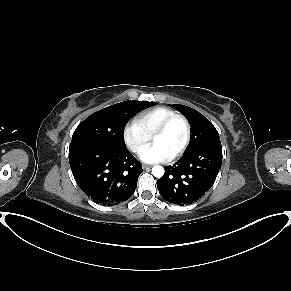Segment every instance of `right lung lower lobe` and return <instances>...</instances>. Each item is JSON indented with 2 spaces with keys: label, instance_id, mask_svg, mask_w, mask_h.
Here are the masks:
<instances>
[{
  "label": "right lung lower lobe",
  "instance_id": "1",
  "mask_svg": "<svg viewBox=\"0 0 291 291\" xmlns=\"http://www.w3.org/2000/svg\"><path fill=\"white\" fill-rule=\"evenodd\" d=\"M69 163L80 189L96 203L108 206L128 200L143 171L126 148L78 146L69 149Z\"/></svg>",
  "mask_w": 291,
  "mask_h": 291
}]
</instances>
